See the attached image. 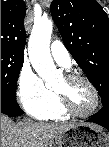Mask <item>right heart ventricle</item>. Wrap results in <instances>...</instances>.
I'll return each instance as SVG.
<instances>
[{
  "label": "right heart ventricle",
  "mask_w": 109,
  "mask_h": 147,
  "mask_svg": "<svg viewBox=\"0 0 109 147\" xmlns=\"http://www.w3.org/2000/svg\"><path fill=\"white\" fill-rule=\"evenodd\" d=\"M38 119H51V120H64L67 119L70 114H68L60 104L59 98L55 95L54 104L44 110H41L34 114Z\"/></svg>",
  "instance_id": "obj_1"
}]
</instances>
